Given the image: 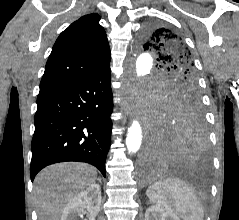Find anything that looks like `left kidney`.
I'll list each match as a JSON object with an SVG mask.
<instances>
[{
    "label": "left kidney",
    "instance_id": "5707ae66",
    "mask_svg": "<svg viewBox=\"0 0 239 220\" xmlns=\"http://www.w3.org/2000/svg\"><path fill=\"white\" fill-rule=\"evenodd\" d=\"M145 220H180V218L171 211L152 205L145 212Z\"/></svg>",
    "mask_w": 239,
    "mask_h": 220
}]
</instances>
